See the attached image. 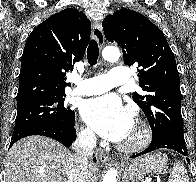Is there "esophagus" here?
I'll return each mask as SVG.
<instances>
[{"instance_id": "esophagus-1", "label": "esophagus", "mask_w": 196, "mask_h": 182, "mask_svg": "<svg viewBox=\"0 0 196 182\" xmlns=\"http://www.w3.org/2000/svg\"><path fill=\"white\" fill-rule=\"evenodd\" d=\"M92 38L97 41L100 47H102L105 43V36L103 33V29L100 23H95L92 26ZM98 160L101 164L108 165L111 161L109 155L99 152L98 153Z\"/></svg>"}]
</instances>
